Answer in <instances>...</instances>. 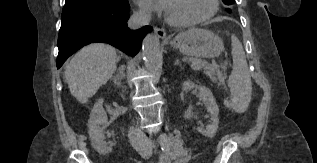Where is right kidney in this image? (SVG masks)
I'll return each mask as SVG.
<instances>
[{"label":"right kidney","instance_id":"ca27d5eb","mask_svg":"<svg viewBox=\"0 0 317 163\" xmlns=\"http://www.w3.org/2000/svg\"><path fill=\"white\" fill-rule=\"evenodd\" d=\"M103 102L102 98L98 99L92 108L88 122V133L92 147L99 154L105 155L110 153L112 148L105 141L104 129L107 124V114L103 108Z\"/></svg>","mask_w":317,"mask_h":163}]
</instances>
